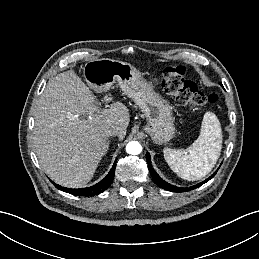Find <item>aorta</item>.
<instances>
[{
  "mask_svg": "<svg viewBox=\"0 0 259 259\" xmlns=\"http://www.w3.org/2000/svg\"><path fill=\"white\" fill-rule=\"evenodd\" d=\"M142 151V146L137 141H131L126 145V152L131 155H138Z\"/></svg>",
  "mask_w": 259,
  "mask_h": 259,
  "instance_id": "aorta-1",
  "label": "aorta"
}]
</instances>
